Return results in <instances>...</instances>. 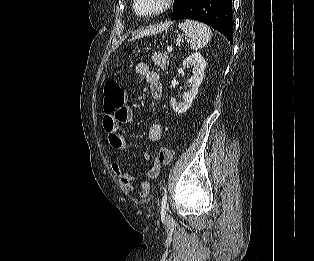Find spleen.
Instances as JSON below:
<instances>
[{"mask_svg": "<svg viewBox=\"0 0 314 261\" xmlns=\"http://www.w3.org/2000/svg\"><path fill=\"white\" fill-rule=\"evenodd\" d=\"M178 27L190 38V47L195 51L205 47L212 38L210 27L198 21L186 20Z\"/></svg>", "mask_w": 314, "mask_h": 261, "instance_id": "1", "label": "spleen"}]
</instances>
